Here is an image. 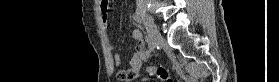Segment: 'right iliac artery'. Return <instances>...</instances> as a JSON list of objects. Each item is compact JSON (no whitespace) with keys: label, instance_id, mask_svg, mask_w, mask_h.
I'll list each match as a JSON object with an SVG mask.
<instances>
[{"label":"right iliac artery","instance_id":"1","mask_svg":"<svg viewBox=\"0 0 279 82\" xmlns=\"http://www.w3.org/2000/svg\"><path fill=\"white\" fill-rule=\"evenodd\" d=\"M134 19L137 21V19L135 18V16H134ZM137 22H139V20H138ZM140 24H141V22H140ZM140 36L143 37V34L140 33ZM145 39H146V37H145ZM149 55H150V51H149V50H146V52H145V58H148Z\"/></svg>","mask_w":279,"mask_h":82}]
</instances>
